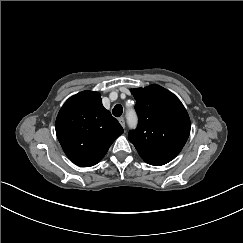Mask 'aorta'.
Listing matches in <instances>:
<instances>
[{
	"label": "aorta",
	"mask_w": 243,
	"mask_h": 243,
	"mask_svg": "<svg viewBox=\"0 0 243 243\" xmlns=\"http://www.w3.org/2000/svg\"><path fill=\"white\" fill-rule=\"evenodd\" d=\"M131 121H132V122L134 121V118H133V117L131 118Z\"/></svg>",
	"instance_id": "aorta-1"
}]
</instances>
